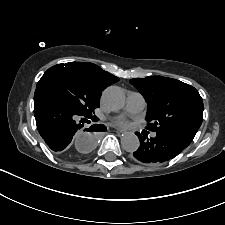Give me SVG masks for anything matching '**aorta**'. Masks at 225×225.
<instances>
[{"label": "aorta", "mask_w": 225, "mask_h": 225, "mask_svg": "<svg viewBox=\"0 0 225 225\" xmlns=\"http://www.w3.org/2000/svg\"><path fill=\"white\" fill-rule=\"evenodd\" d=\"M103 102L109 109L116 111L124 107L126 97L123 90L117 86L108 87L103 93ZM121 145L127 152L136 151L139 148V139L132 133L128 132L122 135Z\"/></svg>", "instance_id": "1"}]
</instances>
